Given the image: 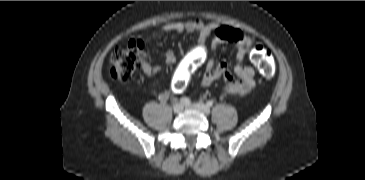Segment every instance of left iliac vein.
Masks as SVG:
<instances>
[{"instance_id":"obj_1","label":"left iliac vein","mask_w":365,"mask_h":180,"mask_svg":"<svg viewBox=\"0 0 365 180\" xmlns=\"http://www.w3.org/2000/svg\"><path fill=\"white\" fill-rule=\"evenodd\" d=\"M191 108L205 114L208 115L210 113V108L205 105L204 103H195L193 105H191Z\"/></svg>"}]
</instances>
